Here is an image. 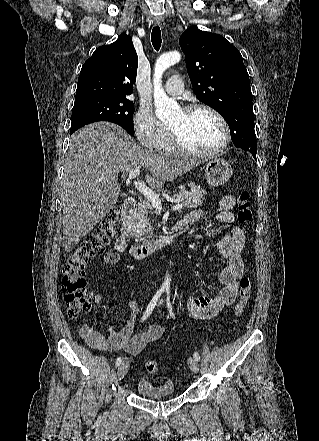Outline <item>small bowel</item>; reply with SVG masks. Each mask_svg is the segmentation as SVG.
Segmentation results:
<instances>
[{"label": "small bowel", "instance_id": "obj_1", "mask_svg": "<svg viewBox=\"0 0 319 441\" xmlns=\"http://www.w3.org/2000/svg\"><path fill=\"white\" fill-rule=\"evenodd\" d=\"M235 197L224 196L220 201V210L215 215V221L224 224H234L236 216L234 207ZM202 217L201 210L189 213L180 223L181 226L197 222ZM245 245V234L238 226H233L225 233L218 242V249L221 257L226 261L225 267L219 274V280L223 285L219 294L215 297L206 295L193 296L187 300V317L189 319H211L218 316L226 307L230 306L238 294V280L241 278L244 264L241 251ZM109 264L119 262L120 256L117 253L109 252L104 257ZM95 303H102L104 297L101 293L93 296ZM130 313L125 324L117 329L111 325L107 335H104L87 324L79 326V334L92 347L99 350H124L137 355L150 343L158 340L165 331V327L153 324L142 332L133 335L134 322L136 318V304L133 299L127 301Z\"/></svg>", "mask_w": 319, "mask_h": 441}]
</instances>
